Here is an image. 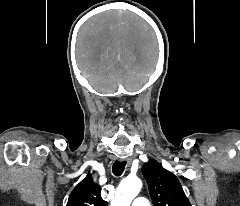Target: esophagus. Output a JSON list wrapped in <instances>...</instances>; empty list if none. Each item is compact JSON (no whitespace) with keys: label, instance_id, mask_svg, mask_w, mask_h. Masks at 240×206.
<instances>
[{"label":"esophagus","instance_id":"34e87169","mask_svg":"<svg viewBox=\"0 0 240 206\" xmlns=\"http://www.w3.org/2000/svg\"><path fill=\"white\" fill-rule=\"evenodd\" d=\"M121 161H126L128 165L131 164L132 159L131 158H127V159H121Z\"/></svg>","mask_w":240,"mask_h":206}]
</instances>
